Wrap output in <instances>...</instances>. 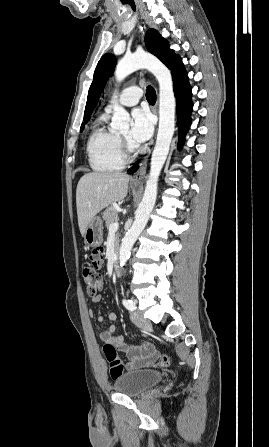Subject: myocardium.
I'll return each mask as SVG.
<instances>
[{
	"label": "myocardium",
	"mask_w": 269,
	"mask_h": 447,
	"mask_svg": "<svg viewBox=\"0 0 269 447\" xmlns=\"http://www.w3.org/2000/svg\"><path fill=\"white\" fill-rule=\"evenodd\" d=\"M120 144L123 151L124 161L132 160L138 154V147L130 140L119 136Z\"/></svg>",
	"instance_id": "myocardium-1"
}]
</instances>
